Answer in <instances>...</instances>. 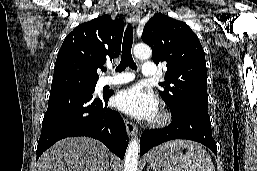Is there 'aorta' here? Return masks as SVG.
<instances>
[{
  "label": "aorta",
  "mask_w": 257,
  "mask_h": 171,
  "mask_svg": "<svg viewBox=\"0 0 257 171\" xmlns=\"http://www.w3.org/2000/svg\"><path fill=\"white\" fill-rule=\"evenodd\" d=\"M133 53L138 59H148L151 56V48L146 44H137L133 49ZM139 156V141L133 139L129 143L124 161V171H137Z\"/></svg>",
  "instance_id": "obj_1"
}]
</instances>
